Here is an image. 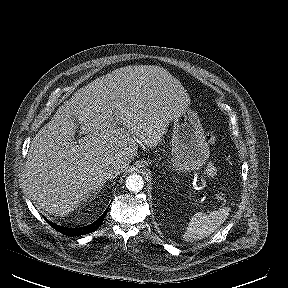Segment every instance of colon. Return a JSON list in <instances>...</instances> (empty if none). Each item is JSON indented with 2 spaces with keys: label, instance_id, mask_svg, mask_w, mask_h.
<instances>
[{
  "label": "colon",
  "instance_id": "obj_1",
  "mask_svg": "<svg viewBox=\"0 0 288 288\" xmlns=\"http://www.w3.org/2000/svg\"><path fill=\"white\" fill-rule=\"evenodd\" d=\"M206 141L209 143V144H215L216 142V136L213 134V133H208L206 135Z\"/></svg>",
  "mask_w": 288,
  "mask_h": 288
}]
</instances>
